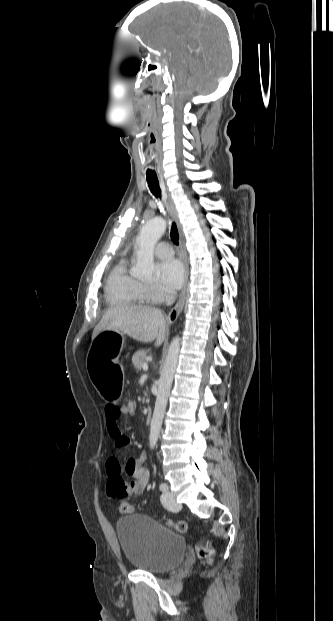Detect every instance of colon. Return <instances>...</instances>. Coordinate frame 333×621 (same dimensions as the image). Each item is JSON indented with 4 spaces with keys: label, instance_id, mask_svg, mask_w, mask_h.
<instances>
[{
    "label": "colon",
    "instance_id": "obj_1",
    "mask_svg": "<svg viewBox=\"0 0 333 621\" xmlns=\"http://www.w3.org/2000/svg\"><path fill=\"white\" fill-rule=\"evenodd\" d=\"M120 407L122 408L123 414L126 416L133 417L137 413L136 400L131 396L122 398L120 401ZM118 510L122 514H129L132 513L133 507L129 502L123 500L119 503ZM169 524L178 532L183 533L187 530V524L183 521L169 522ZM198 553L200 557L210 561L213 555V549L208 544L200 545Z\"/></svg>",
    "mask_w": 333,
    "mask_h": 621
}]
</instances>
